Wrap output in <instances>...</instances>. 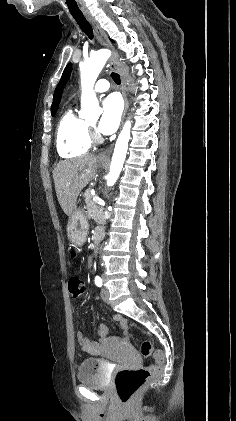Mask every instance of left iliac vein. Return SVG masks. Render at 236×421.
<instances>
[{"label":"left iliac vein","instance_id":"obj_1","mask_svg":"<svg viewBox=\"0 0 236 421\" xmlns=\"http://www.w3.org/2000/svg\"><path fill=\"white\" fill-rule=\"evenodd\" d=\"M101 298L104 302L109 303V290L107 288L101 289Z\"/></svg>","mask_w":236,"mask_h":421}]
</instances>
